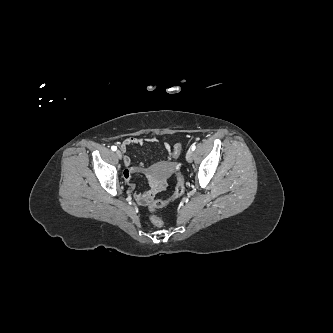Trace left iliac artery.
<instances>
[{"instance_id": "44dca946", "label": "left iliac artery", "mask_w": 333, "mask_h": 333, "mask_svg": "<svg viewBox=\"0 0 333 333\" xmlns=\"http://www.w3.org/2000/svg\"><path fill=\"white\" fill-rule=\"evenodd\" d=\"M195 148H196V145H195V144H193V145L191 146V149H192V151H194V150H195Z\"/></svg>"}]
</instances>
